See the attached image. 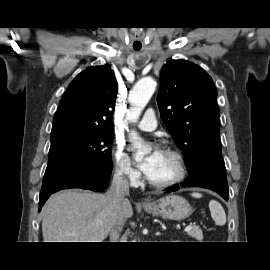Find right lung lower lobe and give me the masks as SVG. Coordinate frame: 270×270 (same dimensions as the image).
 Listing matches in <instances>:
<instances>
[{"mask_svg": "<svg viewBox=\"0 0 270 270\" xmlns=\"http://www.w3.org/2000/svg\"><path fill=\"white\" fill-rule=\"evenodd\" d=\"M110 171L90 168L84 159H75L45 171L39 197V211L51 194L68 188L100 191L107 187Z\"/></svg>", "mask_w": 270, "mask_h": 270, "instance_id": "98d812e1", "label": "right lung lower lobe"}]
</instances>
